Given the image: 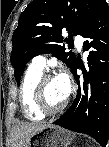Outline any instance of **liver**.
<instances>
[{
  "label": "liver",
  "mask_w": 109,
  "mask_h": 147,
  "mask_svg": "<svg viewBox=\"0 0 109 147\" xmlns=\"http://www.w3.org/2000/svg\"><path fill=\"white\" fill-rule=\"evenodd\" d=\"M49 126L43 123L20 122L12 127L10 147H28L32 135Z\"/></svg>",
  "instance_id": "liver-1"
}]
</instances>
